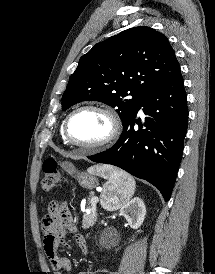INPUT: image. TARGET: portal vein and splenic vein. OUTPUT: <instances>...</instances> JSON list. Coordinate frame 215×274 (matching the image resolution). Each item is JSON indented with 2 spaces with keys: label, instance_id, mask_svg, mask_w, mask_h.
Returning a JSON list of instances; mask_svg holds the SVG:
<instances>
[{
  "label": "portal vein and splenic vein",
  "instance_id": "18ae733b",
  "mask_svg": "<svg viewBox=\"0 0 215 274\" xmlns=\"http://www.w3.org/2000/svg\"><path fill=\"white\" fill-rule=\"evenodd\" d=\"M93 201L97 203L98 202V197H93Z\"/></svg>",
  "mask_w": 215,
  "mask_h": 274
}]
</instances>
